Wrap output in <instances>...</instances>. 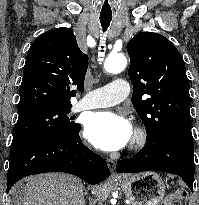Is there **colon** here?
Instances as JSON below:
<instances>
[{"mask_svg":"<svg viewBox=\"0 0 199 205\" xmlns=\"http://www.w3.org/2000/svg\"><path fill=\"white\" fill-rule=\"evenodd\" d=\"M185 199V192L182 189H175L163 201L162 205H180Z\"/></svg>","mask_w":199,"mask_h":205,"instance_id":"5ec220e1","label":"colon"}]
</instances>
